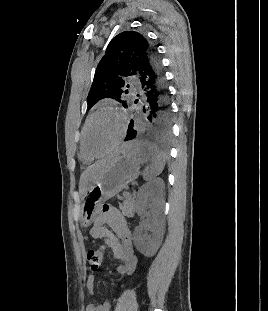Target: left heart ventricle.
I'll list each match as a JSON object with an SVG mask.
<instances>
[{
	"mask_svg": "<svg viewBox=\"0 0 268 311\" xmlns=\"http://www.w3.org/2000/svg\"><path fill=\"white\" fill-rule=\"evenodd\" d=\"M119 132L120 121L114 113L104 111L98 114L92 119L87 129L88 149L94 154L104 153L115 142Z\"/></svg>",
	"mask_w": 268,
	"mask_h": 311,
	"instance_id": "left-heart-ventricle-1",
	"label": "left heart ventricle"
}]
</instances>
